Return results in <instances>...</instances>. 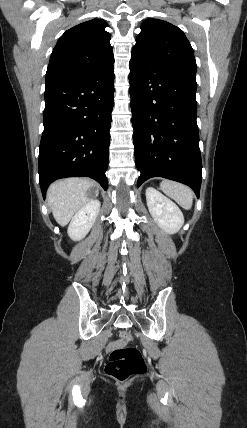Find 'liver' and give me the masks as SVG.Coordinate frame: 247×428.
Segmentation results:
<instances>
[{"instance_id": "liver-1", "label": "liver", "mask_w": 247, "mask_h": 428, "mask_svg": "<svg viewBox=\"0 0 247 428\" xmlns=\"http://www.w3.org/2000/svg\"><path fill=\"white\" fill-rule=\"evenodd\" d=\"M96 187V183L87 178H68L51 184L47 200L57 223L67 225L73 215L90 202L87 191Z\"/></svg>"}]
</instances>
